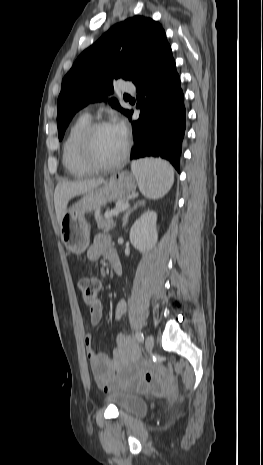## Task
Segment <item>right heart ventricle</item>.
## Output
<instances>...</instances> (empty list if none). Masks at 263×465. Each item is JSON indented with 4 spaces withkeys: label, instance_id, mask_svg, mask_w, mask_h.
Instances as JSON below:
<instances>
[{
    "label": "right heart ventricle",
    "instance_id": "1",
    "mask_svg": "<svg viewBox=\"0 0 263 465\" xmlns=\"http://www.w3.org/2000/svg\"><path fill=\"white\" fill-rule=\"evenodd\" d=\"M90 123L88 115L79 116L69 128L63 142L62 163L67 173L73 177H85L93 172L82 162L78 149L79 138Z\"/></svg>",
    "mask_w": 263,
    "mask_h": 465
}]
</instances>
